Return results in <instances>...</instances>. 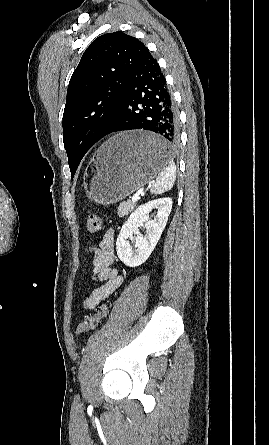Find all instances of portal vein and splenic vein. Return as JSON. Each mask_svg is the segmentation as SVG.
Masks as SVG:
<instances>
[{"mask_svg":"<svg viewBox=\"0 0 269 445\" xmlns=\"http://www.w3.org/2000/svg\"><path fill=\"white\" fill-rule=\"evenodd\" d=\"M142 191H143V189H140L132 196V202H137V200L139 199V195Z\"/></svg>","mask_w":269,"mask_h":445,"instance_id":"18ae733b","label":"portal vein and splenic vein"}]
</instances>
